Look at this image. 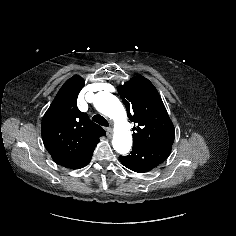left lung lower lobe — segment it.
I'll use <instances>...</instances> for the list:
<instances>
[{"instance_id":"obj_1","label":"left lung lower lobe","mask_w":236,"mask_h":236,"mask_svg":"<svg viewBox=\"0 0 236 236\" xmlns=\"http://www.w3.org/2000/svg\"><path fill=\"white\" fill-rule=\"evenodd\" d=\"M172 147L167 146H134L127 156H119L120 162L128 169L137 173H147L162 162L171 152Z\"/></svg>"}]
</instances>
